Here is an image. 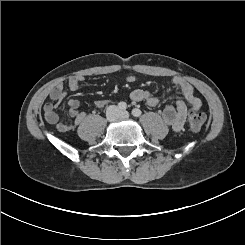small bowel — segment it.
<instances>
[{
    "mask_svg": "<svg viewBox=\"0 0 245 245\" xmlns=\"http://www.w3.org/2000/svg\"><path fill=\"white\" fill-rule=\"evenodd\" d=\"M83 78L80 76L71 77L66 84L69 91H76L79 88ZM128 82H133L135 77L128 75L126 77ZM185 100H177L174 105H168L162 112L163 121L170 126L174 131H180L186 121L188 107L193 110H198L201 107V100L195 95L191 84L180 77H174L170 81ZM66 89L64 85L59 84L50 92V102L44 105V117L47 123L55 126L60 132H67L75 129L85 118V114L80 111V102L76 99L68 101V111L72 118L70 121L60 120L56 112L57 106L66 97ZM130 97L135 102L144 101L149 107H156L159 105V98L154 96L151 92L143 89H135L131 92ZM108 100L101 99L94 103L96 109L105 107Z\"/></svg>",
    "mask_w": 245,
    "mask_h": 245,
    "instance_id": "obj_1",
    "label": "small bowel"
}]
</instances>
